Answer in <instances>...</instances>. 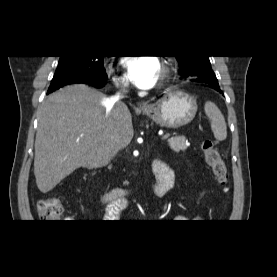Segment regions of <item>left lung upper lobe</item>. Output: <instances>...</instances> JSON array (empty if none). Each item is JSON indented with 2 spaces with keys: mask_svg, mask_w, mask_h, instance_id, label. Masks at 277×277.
I'll use <instances>...</instances> for the list:
<instances>
[{
  "mask_svg": "<svg viewBox=\"0 0 277 277\" xmlns=\"http://www.w3.org/2000/svg\"><path fill=\"white\" fill-rule=\"evenodd\" d=\"M180 64V75L185 78L216 77L209 56H175Z\"/></svg>",
  "mask_w": 277,
  "mask_h": 277,
  "instance_id": "obj_1",
  "label": "left lung upper lobe"
}]
</instances>
